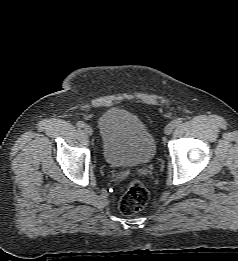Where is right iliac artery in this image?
<instances>
[{"label": "right iliac artery", "instance_id": "obj_1", "mask_svg": "<svg viewBox=\"0 0 238 261\" xmlns=\"http://www.w3.org/2000/svg\"><path fill=\"white\" fill-rule=\"evenodd\" d=\"M76 125L78 128H83L85 124L83 121H78Z\"/></svg>", "mask_w": 238, "mask_h": 261}]
</instances>
